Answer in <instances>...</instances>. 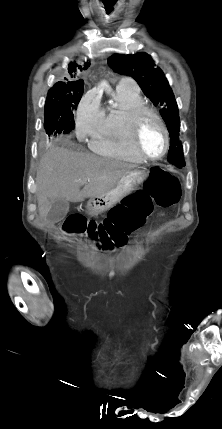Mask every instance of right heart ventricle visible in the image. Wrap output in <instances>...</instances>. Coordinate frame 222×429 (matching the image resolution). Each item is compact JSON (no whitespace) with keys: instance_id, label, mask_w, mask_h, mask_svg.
<instances>
[{"instance_id":"e07e8e85","label":"right heart ventricle","mask_w":222,"mask_h":429,"mask_svg":"<svg viewBox=\"0 0 222 429\" xmlns=\"http://www.w3.org/2000/svg\"><path fill=\"white\" fill-rule=\"evenodd\" d=\"M116 106L108 109L98 131L91 137L90 147L97 154L141 163L143 159L134 151L129 139V118L133 110L144 105L137 89L117 88Z\"/></svg>"}]
</instances>
